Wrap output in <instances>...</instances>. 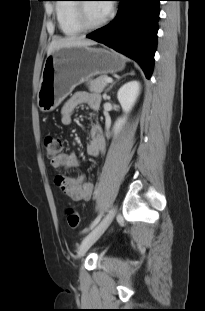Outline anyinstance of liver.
Returning <instances> with one entry per match:
<instances>
[{
	"instance_id": "liver-1",
	"label": "liver",
	"mask_w": 205,
	"mask_h": 311,
	"mask_svg": "<svg viewBox=\"0 0 205 311\" xmlns=\"http://www.w3.org/2000/svg\"><path fill=\"white\" fill-rule=\"evenodd\" d=\"M96 41L91 39H86L84 36L80 37H65L52 40L50 43L47 55H51L55 50L65 48V47H74V46H91L95 45Z\"/></svg>"
}]
</instances>
